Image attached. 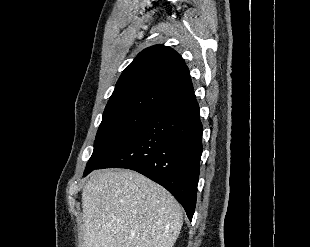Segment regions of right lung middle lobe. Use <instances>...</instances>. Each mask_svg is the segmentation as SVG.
Wrapping results in <instances>:
<instances>
[{"instance_id": "right-lung-middle-lobe-1", "label": "right lung middle lobe", "mask_w": 310, "mask_h": 247, "mask_svg": "<svg viewBox=\"0 0 310 247\" xmlns=\"http://www.w3.org/2000/svg\"><path fill=\"white\" fill-rule=\"evenodd\" d=\"M158 112L159 110L153 107L136 106L103 114L94 142V151L86 165L84 175L110 158L145 122Z\"/></svg>"}]
</instances>
